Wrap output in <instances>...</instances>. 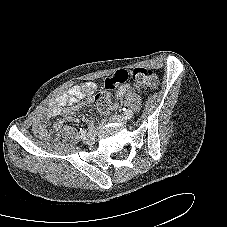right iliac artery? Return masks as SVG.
<instances>
[{
    "instance_id": "right-iliac-artery-1",
    "label": "right iliac artery",
    "mask_w": 227,
    "mask_h": 227,
    "mask_svg": "<svg viewBox=\"0 0 227 227\" xmlns=\"http://www.w3.org/2000/svg\"><path fill=\"white\" fill-rule=\"evenodd\" d=\"M86 133H87L86 129H80V133H79L80 138H84Z\"/></svg>"
}]
</instances>
